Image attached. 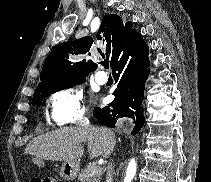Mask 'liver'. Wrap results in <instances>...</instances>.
I'll use <instances>...</instances> for the list:
<instances>
[{
	"label": "liver",
	"instance_id": "1",
	"mask_svg": "<svg viewBox=\"0 0 211 182\" xmlns=\"http://www.w3.org/2000/svg\"><path fill=\"white\" fill-rule=\"evenodd\" d=\"M84 142H87L91 158L104 157L108 151H113L116 138L114 132L107 128L64 127L32 139L25 154L37 159L73 162L82 157Z\"/></svg>",
	"mask_w": 211,
	"mask_h": 182
}]
</instances>
